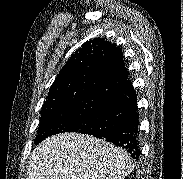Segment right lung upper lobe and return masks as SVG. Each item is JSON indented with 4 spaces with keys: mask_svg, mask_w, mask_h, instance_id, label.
Here are the masks:
<instances>
[{
    "mask_svg": "<svg viewBox=\"0 0 183 179\" xmlns=\"http://www.w3.org/2000/svg\"><path fill=\"white\" fill-rule=\"evenodd\" d=\"M122 52L101 38L89 40L64 65L43 106L88 95H105L128 79Z\"/></svg>",
    "mask_w": 183,
    "mask_h": 179,
    "instance_id": "cb5924a9",
    "label": "right lung upper lobe"
}]
</instances>
